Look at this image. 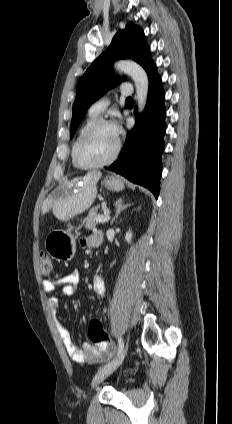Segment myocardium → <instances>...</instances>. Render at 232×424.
<instances>
[{"instance_id":"f54148a6","label":"myocardium","mask_w":232,"mask_h":424,"mask_svg":"<svg viewBox=\"0 0 232 424\" xmlns=\"http://www.w3.org/2000/svg\"><path fill=\"white\" fill-rule=\"evenodd\" d=\"M103 126L113 127V123L109 120H106V119H97L91 125H89L87 127V129L78 138V140H77V142L74 146L73 157H74V161H75L76 165L79 168H81V169H93V168L102 167V166H105V165L112 163L118 157L120 149H121V141H120L119 137H117V139H116V145H115L113 152L106 159L99 161V162H96V163H86L80 157L79 151H80L81 145L84 143V141L93 132H95L97 129H99L100 127H103Z\"/></svg>"}]
</instances>
